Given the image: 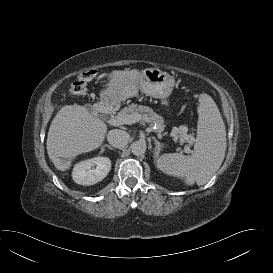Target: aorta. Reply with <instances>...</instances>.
Instances as JSON below:
<instances>
[{
	"label": "aorta",
	"mask_w": 273,
	"mask_h": 273,
	"mask_svg": "<svg viewBox=\"0 0 273 273\" xmlns=\"http://www.w3.org/2000/svg\"><path fill=\"white\" fill-rule=\"evenodd\" d=\"M131 151L134 155H143L146 151V144L143 141H135L130 146Z\"/></svg>",
	"instance_id": "obj_1"
}]
</instances>
